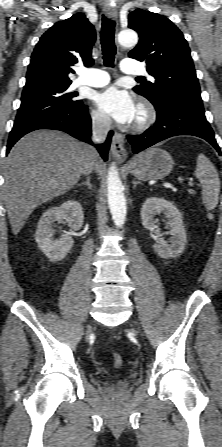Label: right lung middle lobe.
<instances>
[{
	"mask_svg": "<svg viewBox=\"0 0 222 447\" xmlns=\"http://www.w3.org/2000/svg\"><path fill=\"white\" fill-rule=\"evenodd\" d=\"M69 85L52 86L23 91L16 120L42 115L52 110L78 105L82 100L68 91Z\"/></svg>",
	"mask_w": 222,
	"mask_h": 447,
	"instance_id": "obj_1",
	"label": "right lung middle lobe"
}]
</instances>
